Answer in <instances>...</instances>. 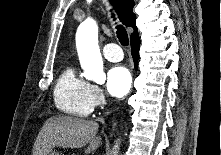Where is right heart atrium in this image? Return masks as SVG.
Instances as JSON below:
<instances>
[{"label":"right heart atrium","instance_id":"d8ad5b80","mask_svg":"<svg viewBox=\"0 0 221 155\" xmlns=\"http://www.w3.org/2000/svg\"><path fill=\"white\" fill-rule=\"evenodd\" d=\"M89 95L93 106L103 105L105 102V96L102 89L94 84H90Z\"/></svg>","mask_w":221,"mask_h":155}]
</instances>
